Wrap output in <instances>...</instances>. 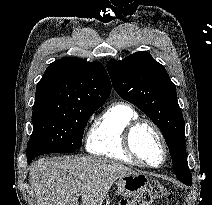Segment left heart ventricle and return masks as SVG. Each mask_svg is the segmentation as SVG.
<instances>
[{"mask_svg": "<svg viewBox=\"0 0 212 205\" xmlns=\"http://www.w3.org/2000/svg\"><path fill=\"white\" fill-rule=\"evenodd\" d=\"M134 147L139 156L151 164H158L163 157L161 144L148 127L140 128L134 136Z\"/></svg>", "mask_w": 212, "mask_h": 205, "instance_id": "left-heart-ventricle-1", "label": "left heart ventricle"}]
</instances>
